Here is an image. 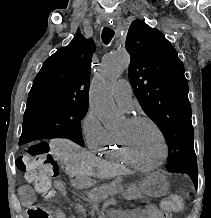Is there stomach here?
<instances>
[{
	"label": "stomach",
	"mask_w": 211,
	"mask_h": 218,
	"mask_svg": "<svg viewBox=\"0 0 211 218\" xmlns=\"http://www.w3.org/2000/svg\"><path fill=\"white\" fill-rule=\"evenodd\" d=\"M76 182L82 187L94 185V181L87 175L77 176ZM168 181L161 173H153L139 183V190L151 197H161L168 192Z\"/></svg>",
	"instance_id": "1"
}]
</instances>
